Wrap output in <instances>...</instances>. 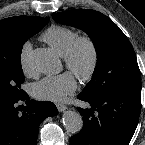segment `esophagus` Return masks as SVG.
<instances>
[{"instance_id": "obj_1", "label": "esophagus", "mask_w": 145, "mask_h": 145, "mask_svg": "<svg viewBox=\"0 0 145 145\" xmlns=\"http://www.w3.org/2000/svg\"><path fill=\"white\" fill-rule=\"evenodd\" d=\"M56 106L59 112H64L67 109V107L63 104H57Z\"/></svg>"}]
</instances>
